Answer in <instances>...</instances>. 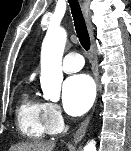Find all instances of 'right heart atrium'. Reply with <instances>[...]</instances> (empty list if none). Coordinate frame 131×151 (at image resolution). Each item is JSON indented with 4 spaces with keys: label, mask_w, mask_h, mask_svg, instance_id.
I'll return each instance as SVG.
<instances>
[{
    "label": "right heart atrium",
    "mask_w": 131,
    "mask_h": 151,
    "mask_svg": "<svg viewBox=\"0 0 131 151\" xmlns=\"http://www.w3.org/2000/svg\"><path fill=\"white\" fill-rule=\"evenodd\" d=\"M45 118L52 133L59 132L64 126L59 106L55 103H45Z\"/></svg>",
    "instance_id": "d8ad5b80"
}]
</instances>
